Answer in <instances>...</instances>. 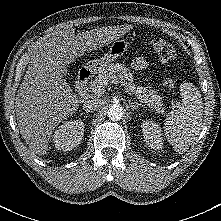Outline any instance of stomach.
Instances as JSON below:
<instances>
[{"mask_svg": "<svg viewBox=\"0 0 221 221\" xmlns=\"http://www.w3.org/2000/svg\"><path fill=\"white\" fill-rule=\"evenodd\" d=\"M129 46V42L125 40H115L108 53L99 59L89 61L85 67L92 73H101L110 63L123 56Z\"/></svg>", "mask_w": 221, "mask_h": 221, "instance_id": "obj_1", "label": "stomach"}]
</instances>
